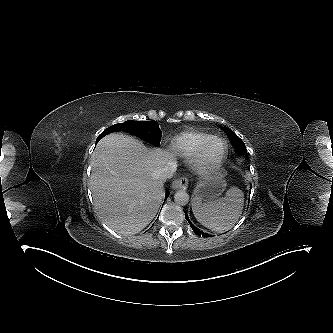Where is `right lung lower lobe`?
I'll return each mask as SVG.
<instances>
[{
	"mask_svg": "<svg viewBox=\"0 0 333 333\" xmlns=\"http://www.w3.org/2000/svg\"><path fill=\"white\" fill-rule=\"evenodd\" d=\"M107 134H109L108 132L106 131H103L98 137H97V140H96V144L99 142V140L106 136ZM169 196V192H166V196H165V200L167 199V197Z\"/></svg>",
	"mask_w": 333,
	"mask_h": 333,
	"instance_id": "98d812e1",
	"label": "right lung lower lobe"
}]
</instances>
